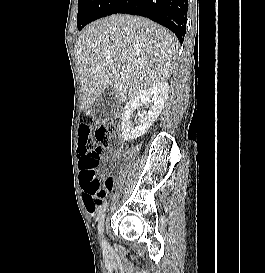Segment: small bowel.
<instances>
[{"mask_svg": "<svg viewBox=\"0 0 265 273\" xmlns=\"http://www.w3.org/2000/svg\"><path fill=\"white\" fill-rule=\"evenodd\" d=\"M96 125L95 124H79V129H95ZM116 157H122L123 156V151L118 149L114 152ZM79 161H80V156H79ZM112 180L111 177H108ZM105 196H98V195H93L91 193L85 192V208L89 214H93L96 209L101 206L105 200Z\"/></svg>", "mask_w": 265, "mask_h": 273, "instance_id": "c3829d8e", "label": "small bowel"}]
</instances>
